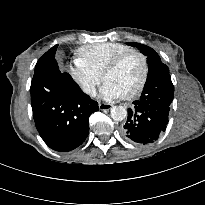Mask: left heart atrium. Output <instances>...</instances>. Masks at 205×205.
<instances>
[{"label":"left heart atrium","mask_w":205,"mask_h":205,"mask_svg":"<svg viewBox=\"0 0 205 205\" xmlns=\"http://www.w3.org/2000/svg\"><path fill=\"white\" fill-rule=\"evenodd\" d=\"M101 95L103 98L107 100H113L123 96V94L118 88H116L114 85L106 81L102 86Z\"/></svg>","instance_id":"1"}]
</instances>
